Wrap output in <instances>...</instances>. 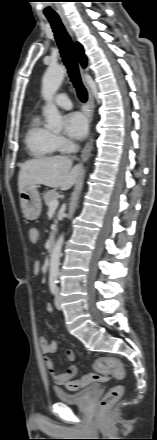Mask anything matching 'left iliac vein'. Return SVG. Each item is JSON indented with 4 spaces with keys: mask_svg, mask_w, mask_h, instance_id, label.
<instances>
[{
    "mask_svg": "<svg viewBox=\"0 0 157 440\" xmlns=\"http://www.w3.org/2000/svg\"><path fill=\"white\" fill-rule=\"evenodd\" d=\"M55 306L58 310L61 309V295H60V288L59 287H57V289H56Z\"/></svg>",
    "mask_w": 157,
    "mask_h": 440,
    "instance_id": "obj_1",
    "label": "left iliac vein"
}]
</instances>
